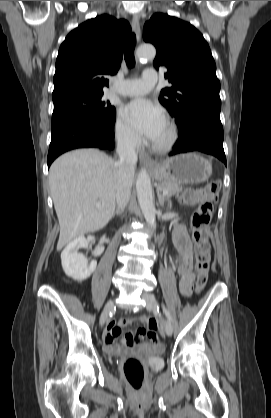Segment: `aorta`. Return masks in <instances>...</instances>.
<instances>
[{
	"instance_id": "1",
	"label": "aorta",
	"mask_w": 271,
	"mask_h": 418,
	"mask_svg": "<svg viewBox=\"0 0 271 418\" xmlns=\"http://www.w3.org/2000/svg\"><path fill=\"white\" fill-rule=\"evenodd\" d=\"M156 56V50L152 45L140 46L137 50L139 59H153ZM136 191L139 206L146 221L156 226V209L153 203L152 187L150 177L146 169H141L136 180Z\"/></svg>"
}]
</instances>
